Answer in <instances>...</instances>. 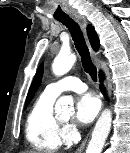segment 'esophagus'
<instances>
[{
  "mask_svg": "<svg viewBox=\"0 0 130 153\" xmlns=\"http://www.w3.org/2000/svg\"><path fill=\"white\" fill-rule=\"evenodd\" d=\"M72 17L80 24V26L85 30L87 22L85 17L79 15V14H73ZM92 55L95 59V61L98 60V56L97 53L92 51ZM88 141V136L82 141V143L80 144V146L77 148V152H82L87 144Z\"/></svg>",
  "mask_w": 130,
  "mask_h": 153,
  "instance_id": "1",
  "label": "esophagus"
}]
</instances>
